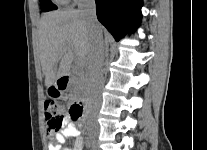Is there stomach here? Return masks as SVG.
<instances>
[{
    "label": "stomach",
    "instance_id": "0dacf381",
    "mask_svg": "<svg viewBox=\"0 0 207 150\" xmlns=\"http://www.w3.org/2000/svg\"><path fill=\"white\" fill-rule=\"evenodd\" d=\"M47 95L53 98H59L63 95V90L59 89L57 82L48 86L46 90Z\"/></svg>",
    "mask_w": 207,
    "mask_h": 150
}]
</instances>
